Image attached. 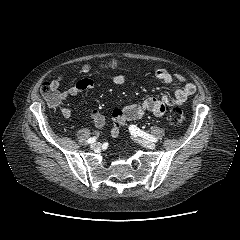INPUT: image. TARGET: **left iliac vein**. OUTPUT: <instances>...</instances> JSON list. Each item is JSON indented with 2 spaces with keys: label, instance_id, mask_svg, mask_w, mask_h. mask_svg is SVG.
Wrapping results in <instances>:
<instances>
[{
  "label": "left iliac vein",
  "instance_id": "1",
  "mask_svg": "<svg viewBox=\"0 0 240 240\" xmlns=\"http://www.w3.org/2000/svg\"><path fill=\"white\" fill-rule=\"evenodd\" d=\"M134 138L137 140L138 143L148 149H154L156 147L155 143H153L152 141L146 140L138 136H134Z\"/></svg>",
  "mask_w": 240,
  "mask_h": 240
}]
</instances>
